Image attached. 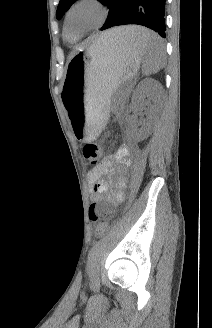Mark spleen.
I'll list each match as a JSON object with an SVG mask.
<instances>
[{"label":"spleen","instance_id":"1","mask_svg":"<svg viewBox=\"0 0 212 328\" xmlns=\"http://www.w3.org/2000/svg\"><path fill=\"white\" fill-rule=\"evenodd\" d=\"M134 27L130 42L144 51L143 73L151 75L157 73L164 64L165 53L162 40L158 35L144 27Z\"/></svg>","mask_w":212,"mask_h":328}]
</instances>
